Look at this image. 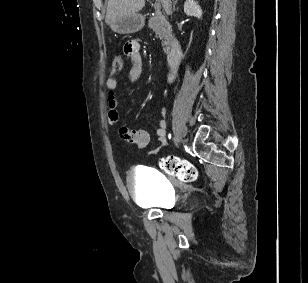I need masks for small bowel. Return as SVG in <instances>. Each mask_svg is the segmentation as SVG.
<instances>
[{
    "label": "small bowel",
    "instance_id": "1",
    "mask_svg": "<svg viewBox=\"0 0 308 283\" xmlns=\"http://www.w3.org/2000/svg\"><path fill=\"white\" fill-rule=\"evenodd\" d=\"M123 52L132 62V66L129 70V79L131 81H138L143 74V58L140 52L139 43L135 40L126 42L123 47ZM173 78V74L168 76L169 81H172ZM105 86L107 89L108 101V124L110 126H117L120 120L118 110L119 103L115 92L117 80L114 77H109L105 82ZM162 115L163 117L158 121L157 127L154 130V134L157 136V145L151 152L152 154H156L158 150L166 144V120L164 118L165 109H162ZM118 132L122 140L133 144L140 149L145 148L149 144L151 138L150 133L144 129H130L125 126H120L118 128Z\"/></svg>",
    "mask_w": 308,
    "mask_h": 283
}]
</instances>
